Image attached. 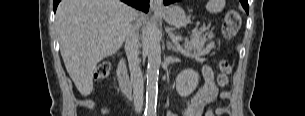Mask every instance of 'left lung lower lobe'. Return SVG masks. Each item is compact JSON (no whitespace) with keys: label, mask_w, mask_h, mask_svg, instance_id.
<instances>
[{"label":"left lung lower lobe","mask_w":305,"mask_h":116,"mask_svg":"<svg viewBox=\"0 0 305 116\" xmlns=\"http://www.w3.org/2000/svg\"><path fill=\"white\" fill-rule=\"evenodd\" d=\"M178 0H164V4L168 5L170 3L173 2H177ZM242 6L244 7V9L246 10V12L248 13V0H240Z\"/></svg>","instance_id":"left-lung-lower-lobe-1"}]
</instances>
